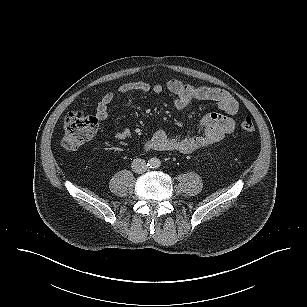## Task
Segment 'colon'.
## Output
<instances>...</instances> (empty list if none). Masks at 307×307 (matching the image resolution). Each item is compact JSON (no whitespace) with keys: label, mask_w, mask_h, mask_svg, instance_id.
I'll use <instances>...</instances> for the list:
<instances>
[{"label":"colon","mask_w":307,"mask_h":307,"mask_svg":"<svg viewBox=\"0 0 307 307\" xmlns=\"http://www.w3.org/2000/svg\"><path fill=\"white\" fill-rule=\"evenodd\" d=\"M98 119L81 112L69 113L64 122L62 143L66 149H76L91 140L97 132ZM240 128L245 133H252L255 124L247 116L240 122Z\"/></svg>","instance_id":"1"}]
</instances>
